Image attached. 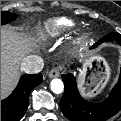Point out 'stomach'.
Instances as JSON below:
<instances>
[{
	"instance_id": "obj_1",
	"label": "stomach",
	"mask_w": 121,
	"mask_h": 121,
	"mask_svg": "<svg viewBox=\"0 0 121 121\" xmlns=\"http://www.w3.org/2000/svg\"><path fill=\"white\" fill-rule=\"evenodd\" d=\"M110 77V67L101 56L90 58L80 71L79 79L85 97H93L106 85Z\"/></svg>"
}]
</instances>
